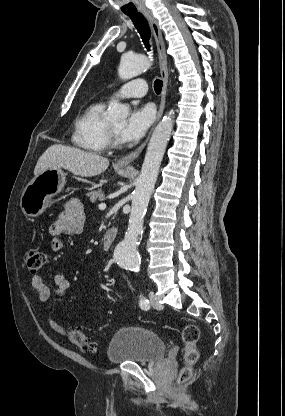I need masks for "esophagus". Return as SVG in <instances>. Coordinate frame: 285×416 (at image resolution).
Returning <instances> with one entry per match:
<instances>
[{"label":"esophagus","instance_id":"34e87169","mask_svg":"<svg viewBox=\"0 0 285 416\" xmlns=\"http://www.w3.org/2000/svg\"><path fill=\"white\" fill-rule=\"evenodd\" d=\"M142 13L144 17H146V20H148V23L150 24L152 32H153V36L155 38L157 53H158V58H159V69L161 73V78L163 80V88L161 92V104H160L157 117H156V122H155V125H156L157 122L160 120L165 109L166 94H167V87H168V81H169L168 63H167V56H166L165 44H164L162 32L159 28L156 18L153 16L152 12H142ZM153 128L150 130L146 140L141 145H139L136 148V150L132 151L131 153H129V155H126L123 158H120V160H118L117 163L120 166L130 165L134 160H136V158L141 154L146 144L148 143V140L152 134Z\"/></svg>","mask_w":285,"mask_h":416}]
</instances>
